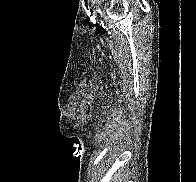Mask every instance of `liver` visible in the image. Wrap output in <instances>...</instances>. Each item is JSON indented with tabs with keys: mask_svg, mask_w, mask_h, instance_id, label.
Segmentation results:
<instances>
[{
	"mask_svg": "<svg viewBox=\"0 0 196 182\" xmlns=\"http://www.w3.org/2000/svg\"><path fill=\"white\" fill-rule=\"evenodd\" d=\"M120 178V173H117V174H115L114 176H113V182H118V179Z\"/></svg>",
	"mask_w": 196,
	"mask_h": 182,
	"instance_id": "obj_1",
	"label": "liver"
}]
</instances>
